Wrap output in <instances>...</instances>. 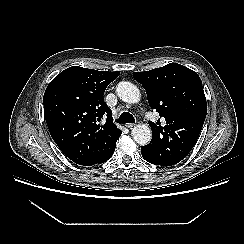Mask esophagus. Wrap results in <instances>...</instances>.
<instances>
[{"instance_id":"1","label":"esophagus","mask_w":244,"mask_h":244,"mask_svg":"<svg viewBox=\"0 0 244 244\" xmlns=\"http://www.w3.org/2000/svg\"><path fill=\"white\" fill-rule=\"evenodd\" d=\"M134 126H135V124H131V123L126 124V127L129 129L133 128Z\"/></svg>"}]
</instances>
